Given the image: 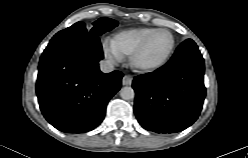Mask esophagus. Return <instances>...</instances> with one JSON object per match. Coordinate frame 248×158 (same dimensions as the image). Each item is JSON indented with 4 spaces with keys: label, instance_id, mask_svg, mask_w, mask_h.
Listing matches in <instances>:
<instances>
[{
    "label": "esophagus",
    "instance_id": "34e87169",
    "mask_svg": "<svg viewBox=\"0 0 248 158\" xmlns=\"http://www.w3.org/2000/svg\"><path fill=\"white\" fill-rule=\"evenodd\" d=\"M133 77L131 75H125L122 78V84L124 86H130L132 84Z\"/></svg>",
    "mask_w": 248,
    "mask_h": 158
}]
</instances>
